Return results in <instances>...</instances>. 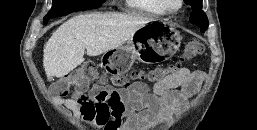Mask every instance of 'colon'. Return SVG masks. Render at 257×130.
I'll use <instances>...</instances> for the list:
<instances>
[{
  "instance_id": "obj_1",
  "label": "colon",
  "mask_w": 257,
  "mask_h": 130,
  "mask_svg": "<svg viewBox=\"0 0 257 130\" xmlns=\"http://www.w3.org/2000/svg\"><path fill=\"white\" fill-rule=\"evenodd\" d=\"M204 51V46L197 40H191L186 44L184 54L180 59L182 61L190 60L200 56ZM180 68V63L169 66L168 68H156L149 72L133 71L128 77L126 75L114 74L107 76L101 75L95 63L88 61L80 67L69 73L63 78H60L51 87L53 97H66L70 88L75 91V96L78 99H85L89 85L94 81L107 82L111 81L115 86L127 85L129 78L147 79L150 82H159L167 75L176 72Z\"/></svg>"
}]
</instances>
